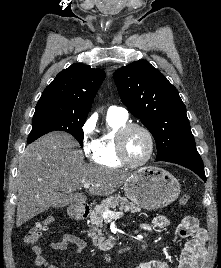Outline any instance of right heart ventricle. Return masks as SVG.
<instances>
[{
    "label": "right heart ventricle",
    "instance_id": "obj_1",
    "mask_svg": "<svg viewBox=\"0 0 221 268\" xmlns=\"http://www.w3.org/2000/svg\"><path fill=\"white\" fill-rule=\"evenodd\" d=\"M108 131L104 132L97 140L93 161L108 168H120L123 164L119 161L116 152V133L126 124V119L107 116Z\"/></svg>",
    "mask_w": 221,
    "mask_h": 268
}]
</instances>
